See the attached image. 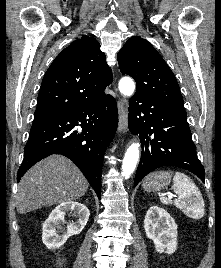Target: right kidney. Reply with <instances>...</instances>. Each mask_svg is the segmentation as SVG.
Masks as SVG:
<instances>
[{"mask_svg":"<svg viewBox=\"0 0 221 268\" xmlns=\"http://www.w3.org/2000/svg\"><path fill=\"white\" fill-rule=\"evenodd\" d=\"M73 211L78 218L76 222L63 226L65 215ZM90 212L82 203L68 201L58 205L43 223L42 241L48 249L59 248L73 235H78L87 224ZM61 233V234H60Z\"/></svg>","mask_w":221,"mask_h":268,"instance_id":"right-kidney-1","label":"right kidney"}]
</instances>
